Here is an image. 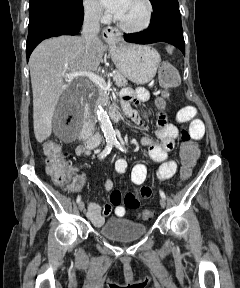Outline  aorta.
<instances>
[{
    "label": "aorta",
    "mask_w": 240,
    "mask_h": 288,
    "mask_svg": "<svg viewBox=\"0 0 240 288\" xmlns=\"http://www.w3.org/2000/svg\"><path fill=\"white\" fill-rule=\"evenodd\" d=\"M97 117L100 122V127L104 133L106 141H114L116 139V134L113 129L112 123L109 119L108 113L101 106L97 109Z\"/></svg>",
    "instance_id": "obj_1"
}]
</instances>
